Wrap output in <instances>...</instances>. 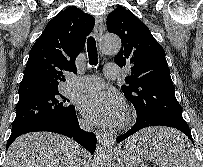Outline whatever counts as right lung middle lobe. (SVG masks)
<instances>
[{
  "label": "right lung middle lobe",
  "mask_w": 203,
  "mask_h": 167,
  "mask_svg": "<svg viewBox=\"0 0 203 167\" xmlns=\"http://www.w3.org/2000/svg\"><path fill=\"white\" fill-rule=\"evenodd\" d=\"M75 112V107L59 91L20 102L16 106V117L12 124V134L32 125L62 118Z\"/></svg>",
  "instance_id": "obj_1"
}]
</instances>
